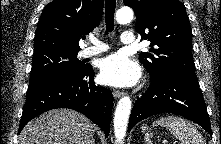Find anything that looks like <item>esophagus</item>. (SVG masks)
Wrapping results in <instances>:
<instances>
[{"mask_svg":"<svg viewBox=\"0 0 221 144\" xmlns=\"http://www.w3.org/2000/svg\"><path fill=\"white\" fill-rule=\"evenodd\" d=\"M113 96L115 97V98H120L122 95H123V92L122 91H119V90H113Z\"/></svg>","mask_w":221,"mask_h":144,"instance_id":"34e87169","label":"esophagus"}]
</instances>
